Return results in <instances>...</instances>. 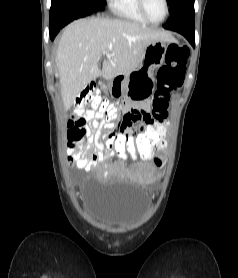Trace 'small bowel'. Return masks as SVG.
I'll return each instance as SVG.
<instances>
[{
  "label": "small bowel",
  "instance_id": "c3829d8e",
  "mask_svg": "<svg viewBox=\"0 0 238 278\" xmlns=\"http://www.w3.org/2000/svg\"><path fill=\"white\" fill-rule=\"evenodd\" d=\"M72 117L68 120V122ZM107 119L101 115H95V118L84 126L85 140H69L70 150L78 169L83 171H91L98 166L99 163L108 161L111 156H101V149L98 146V132ZM67 122V123H68ZM148 124H157L153 115L149 111L147 103H138L128 105L119 127V137H138L139 133L146 136V130H165V129H148ZM68 136V134H67ZM117 154V153H114Z\"/></svg>",
  "mask_w": 238,
  "mask_h": 278
}]
</instances>
